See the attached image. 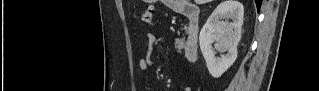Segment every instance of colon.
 Here are the masks:
<instances>
[{
	"label": "colon",
	"mask_w": 319,
	"mask_h": 91,
	"mask_svg": "<svg viewBox=\"0 0 319 91\" xmlns=\"http://www.w3.org/2000/svg\"><path fill=\"white\" fill-rule=\"evenodd\" d=\"M154 8L152 6L147 7L142 13H141V20L143 23L147 25H153L154 23Z\"/></svg>",
	"instance_id": "colon-1"
}]
</instances>
